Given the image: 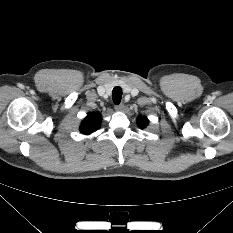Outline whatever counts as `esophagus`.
Returning <instances> with one entry per match:
<instances>
[{"instance_id":"esophagus-1","label":"esophagus","mask_w":233,"mask_h":233,"mask_svg":"<svg viewBox=\"0 0 233 233\" xmlns=\"http://www.w3.org/2000/svg\"><path fill=\"white\" fill-rule=\"evenodd\" d=\"M123 108H124V104H118V105H115V109L117 110V111H122L123 110Z\"/></svg>"}]
</instances>
